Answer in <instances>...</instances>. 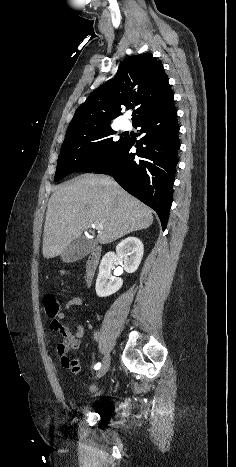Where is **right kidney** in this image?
I'll return each mask as SVG.
<instances>
[{
  "label": "right kidney",
  "instance_id": "obj_1",
  "mask_svg": "<svg viewBox=\"0 0 236 467\" xmlns=\"http://www.w3.org/2000/svg\"><path fill=\"white\" fill-rule=\"evenodd\" d=\"M143 253L144 246L141 240L136 237H128L116 246V253L108 252L105 254L99 266L95 285L97 296H110L122 287L123 280L120 277H115L121 275L122 271L116 269L115 276L111 275L115 261L123 262L122 267L127 273H134L141 263Z\"/></svg>",
  "mask_w": 236,
  "mask_h": 467
}]
</instances>
